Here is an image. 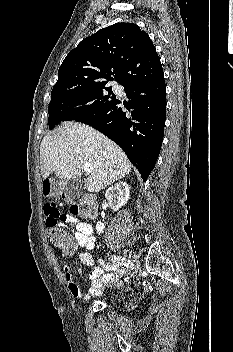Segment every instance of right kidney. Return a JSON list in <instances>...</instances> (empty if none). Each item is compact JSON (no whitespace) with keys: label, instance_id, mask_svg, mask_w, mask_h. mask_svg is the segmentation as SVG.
<instances>
[{"label":"right kidney","instance_id":"obj_1","mask_svg":"<svg viewBox=\"0 0 233 352\" xmlns=\"http://www.w3.org/2000/svg\"><path fill=\"white\" fill-rule=\"evenodd\" d=\"M130 188L129 185L126 182H119L113 186H111L105 193V197L109 202V205L111 209L116 212L118 211L122 206H124L128 199H129V194H130ZM105 228V223L99 221L96 224V231L98 234L103 233V230Z\"/></svg>","mask_w":233,"mask_h":352}]
</instances>
